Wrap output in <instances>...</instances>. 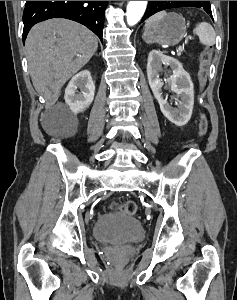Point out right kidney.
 <instances>
[{
	"mask_svg": "<svg viewBox=\"0 0 237 300\" xmlns=\"http://www.w3.org/2000/svg\"><path fill=\"white\" fill-rule=\"evenodd\" d=\"M94 93L95 85L90 71H80L75 77H72L65 89V103L69 105L73 113H81L91 105Z\"/></svg>",
	"mask_w": 237,
	"mask_h": 300,
	"instance_id": "1",
	"label": "right kidney"
}]
</instances>
